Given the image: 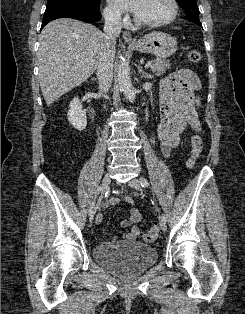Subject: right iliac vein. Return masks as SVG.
Instances as JSON below:
<instances>
[{
  "label": "right iliac vein",
  "mask_w": 245,
  "mask_h": 314,
  "mask_svg": "<svg viewBox=\"0 0 245 314\" xmlns=\"http://www.w3.org/2000/svg\"><path fill=\"white\" fill-rule=\"evenodd\" d=\"M110 181H111L110 175H109V174H106V175L104 176V178H103V180H102V184H101V188H102V189H101V197H100V200H101V198L103 197V195L105 194V192L108 191ZM96 210H97V207H96V209H93V210H91V211L89 212L90 221L93 220L94 215H95V213H96Z\"/></svg>",
  "instance_id": "right-iliac-vein-1"
}]
</instances>
